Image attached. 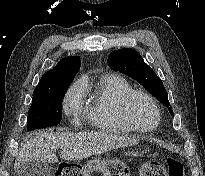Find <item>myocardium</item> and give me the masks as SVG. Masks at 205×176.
I'll return each instance as SVG.
<instances>
[{"instance_id":"obj_1","label":"myocardium","mask_w":205,"mask_h":176,"mask_svg":"<svg viewBox=\"0 0 205 176\" xmlns=\"http://www.w3.org/2000/svg\"><path fill=\"white\" fill-rule=\"evenodd\" d=\"M136 97H142L146 99L151 106L154 108L155 113L157 115V121L154 125L152 126H141L138 125L131 117L130 113V106L132 101ZM121 112L124 120L134 129L137 131H149L153 127H156L160 124L161 119H162V114L159 105L157 104L156 100L146 91L143 90H138V89H133L130 92H128L122 99V105H121Z\"/></svg>"}]
</instances>
